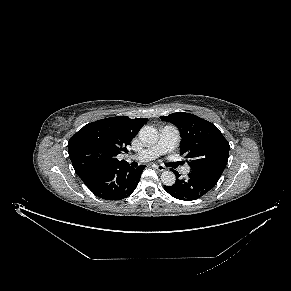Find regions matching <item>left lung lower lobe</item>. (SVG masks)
<instances>
[{"instance_id":"left-lung-lower-lobe-1","label":"left lung lower lobe","mask_w":291,"mask_h":291,"mask_svg":"<svg viewBox=\"0 0 291 291\" xmlns=\"http://www.w3.org/2000/svg\"><path fill=\"white\" fill-rule=\"evenodd\" d=\"M175 174L174 185L164 186V189L176 199L191 201L209 192L218 182L222 173L193 171L188 174L186 179L179 178L180 175L177 172Z\"/></svg>"}]
</instances>
